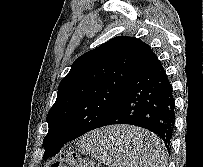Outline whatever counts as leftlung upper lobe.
<instances>
[{
    "instance_id": "1",
    "label": "left lung upper lobe",
    "mask_w": 203,
    "mask_h": 167,
    "mask_svg": "<svg viewBox=\"0 0 203 167\" xmlns=\"http://www.w3.org/2000/svg\"><path fill=\"white\" fill-rule=\"evenodd\" d=\"M152 54L150 46L140 39L118 36L77 58L62 79L57 99L48 112L43 158L49 157L52 145L67 143L99 128Z\"/></svg>"
}]
</instances>
